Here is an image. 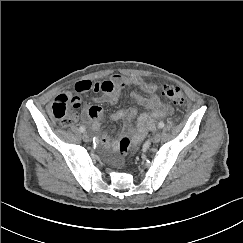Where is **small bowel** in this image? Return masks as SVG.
Segmentation results:
<instances>
[{"instance_id": "1", "label": "small bowel", "mask_w": 243, "mask_h": 243, "mask_svg": "<svg viewBox=\"0 0 243 243\" xmlns=\"http://www.w3.org/2000/svg\"><path fill=\"white\" fill-rule=\"evenodd\" d=\"M127 86H136L147 95H141L137 92L131 93V98L140 106L147 109L137 116V110L134 107L121 109L111 115V121H123V131L131 136L134 143H139L144 139L149 131L156 128V120L172 114L173 109L165 105L157 95V85L145 81L139 76L125 77L122 75H113L109 79L92 82L90 80H80L75 84L77 94L61 93L56 96L54 102H63L72 108L69 114V122L78 118V110L82 107V99L78 94L93 92L96 96L93 99V105L90 106L83 114L84 122L90 121L92 131L99 136L101 145L107 148L115 149L117 141L111 140L108 135L101 130V121L103 119V108L101 104H115L119 95ZM52 103V105H53ZM136 124L133 120L136 118Z\"/></svg>"}]
</instances>
